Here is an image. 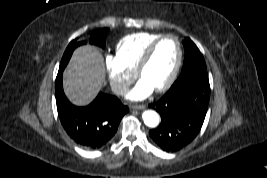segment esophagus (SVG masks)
<instances>
[{
    "instance_id": "34e87169",
    "label": "esophagus",
    "mask_w": 267,
    "mask_h": 178,
    "mask_svg": "<svg viewBox=\"0 0 267 178\" xmlns=\"http://www.w3.org/2000/svg\"><path fill=\"white\" fill-rule=\"evenodd\" d=\"M146 106L145 105H132L131 106V109L133 110H142V109H145Z\"/></svg>"
}]
</instances>
